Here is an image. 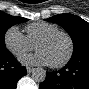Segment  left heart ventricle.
I'll list each match as a JSON object with an SVG mask.
<instances>
[{"label": "left heart ventricle", "mask_w": 89, "mask_h": 89, "mask_svg": "<svg viewBox=\"0 0 89 89\" xmlns=\"http://www.w3.org/2000/svg\"><path fill=\"white\" fill-rule=\"evenodd\" d=\"M37 50L45 53L50 63H57L67 55L69 44L65 36L58 35L47 42L41 43Z\"/></svg>", "instance_id": "left-heart-ventricle-1"}]
</instances>
